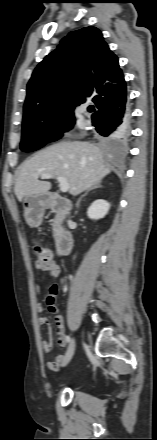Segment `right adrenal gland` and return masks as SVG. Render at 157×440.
I'll return each instance as SVG.
<instances>
[{
    "instance_id": "1",
    "label": "right adrenal gland",
    "mask_w": 157,
    "mask_h": 440,
    "mask_svg": "<svg viewBox=\"0 0 157 440\" xmlns=\"http://www.w3.org/2000/svg\"><path fill=\"white\" fill-rule=\"evenodd\" d=\"M101 187H102L101 184H100V183H97V184L93 185L91 188H89V189L85 192V194H83V195L79 198V200L77 201L76 207H79L82 198H83L84 196H86V195L88 194L89 191L94 190V189H97V188H101Z\"/></svg>"
}]
</instances>
